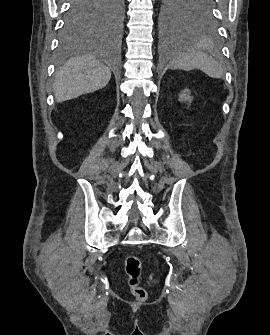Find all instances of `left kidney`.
Wrapping results in <instances>:
<instances>
[{"instance_id": "left-kidney-1", "label": "left kidney", "mask_w": 270, "mask_h": 335, "mask_svg": "<svg viewBox=\"0 0 270 335\" xmlns=\"http://www.w3.org/2000/svg\"><path fill=\"white\" fill-rule=\"evenodd\" d=\"M193 98L190 96V90H183L181 94H179V102H191Z\"/></svg>"}]
</instances>
